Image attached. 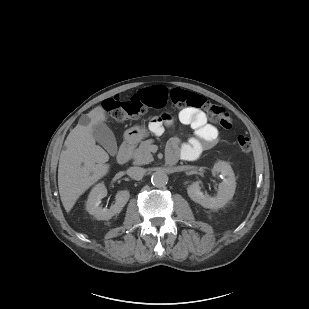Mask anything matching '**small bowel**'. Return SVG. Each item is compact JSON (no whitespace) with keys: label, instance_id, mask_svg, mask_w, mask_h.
I'll use <instances>...</instances> for the list:
<instances>
[{"label":"small bowel","instance_id":"c3829d8e","mask_svg":"<svg viewBox=\"0 0 309 309\" xmlns=\"http://www.w3.org/2000/svg\"><path fill=\"white\" fill-rule=\"evenodd\" d=\"M179 120L181 123L189 125L194 135L186 144H181L179 139L172 138L168 142L167 147V161L169 163H175L179 158H192L198 156L206 149L213 147L218 139L217 128L207 121L205 114L200 110L195 109H183L180 111ZM174 124V118L170 115H163L162 117H156L151 122V128L153 131L158 132L162 129L163 125L172 126Z\"/></svg>","mask_w":309,"mask_h":309}]
</instances>
